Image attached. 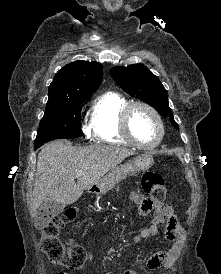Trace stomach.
<instances>
[{
  "instance_id": "obj_1",
  "label": "stomach",
  "mask_w": 221,
  "mask_h": 274,
  "mask_svg": "<svg viewBox=\"0 0 221 274\" xmlns=\"http://www.w3.org/2000/svg\"><path fill=\"white\" fill-rule=\"evenodd\" d=\"M154 163V158L150 153H144L136 158L130 159L128 162L121 164L112 169L108 174L102 177L97 184L94 185V191L105 194L111 190L118 182L129 176H134L140 171H145Z\"/></svg>"
}]
</instances>
